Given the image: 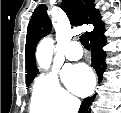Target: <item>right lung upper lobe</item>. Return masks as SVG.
Segmentation results:
<instances>
[{
	"label": "right lung upper lobe",
	"instance_id": "cb5924a9",
	"mask_svg": "<svg viewBox=\"0 0 121 113\" xmlns=\"http://www.w3.org/2000/svg\"><path fill=\"white\" fill-rule=\"evenodd\" d=\"M94 0H63L62 9L67 14L72 25L92 24L94 30L89 36L97 34L104 28L99 11L94 8ZM46 5L35 9L27 28L25 58L27 61V76L37 74L35 63V48L39 40L47 35L52 28L46 13Z\"/></svg>",
	"mask_w": 121,
	"mask_h": 113
}]
</instances>
